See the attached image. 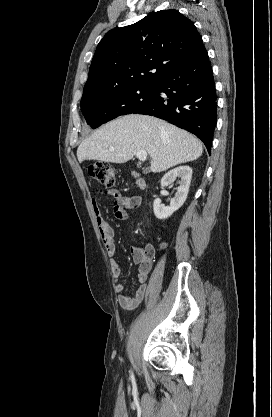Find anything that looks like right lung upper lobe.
<instances>
[{
    "mask_svg": "<svg viewBox=\"0 0 272 417\" xmlns=\"http://www.w3.org/2000/svg\"><path fill=\"white\" fill-rule=\"evenodd\" d=\"M203 46L193 22L176 10L154 12L106 33L97 46L83 95L154 83Z\"/></svg>",
    "mask_w": 272,
    "mask_h": 417,
    "instance_id": "obj_1",
    "label": "right lung upper lobe"
}]
</instances>
